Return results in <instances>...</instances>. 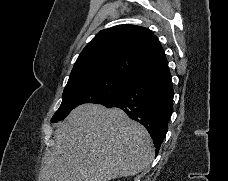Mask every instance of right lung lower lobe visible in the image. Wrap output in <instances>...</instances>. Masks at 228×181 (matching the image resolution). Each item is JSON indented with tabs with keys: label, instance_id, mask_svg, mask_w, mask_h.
Here are the masks:
<instances>
[{
	"label": "right lung lower lobe",
	"instance_id": "1",
	"mask_svg": "<svg viewBox=\"0 0 228 181\" xmlns=\"http://www.w3.org/2000/svg\"><path fill=\"white\" fill-rule=\"evenodd\" d=\"M174 90L167 60L137 75L112 99L100 104L118 107L143 124L153 138L156 154L172 115Z\"/></svg>",
	"mask_w": 228,
	"mask_h": 181
}]
</instances>
